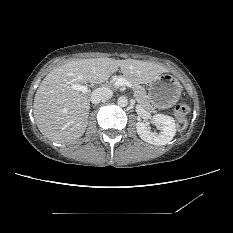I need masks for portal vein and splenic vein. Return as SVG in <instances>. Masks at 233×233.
Wrapping results in <instances>:
<instances>
[{"mask_svg":"<svg viewBox=\"0 0 233 233\" xmlns=\"http://www.w3.org/2000/svg\"><path fill=\"white\" fill-rule=\"evenodd\" d=\"M114 85L116 87L127 86L129 88H132L131 82L127 81L124 77L117 78ZM71 87L74 90H78V91H81V92H87L88 91V87L86 85L72 84Z\"/></svg>","mask_w":233,"mask_h":233,"instance_id":"18ae733b","label":"portal vein and splenic vein"}]
</instances>
